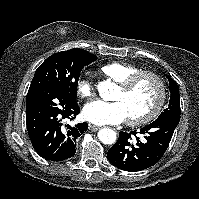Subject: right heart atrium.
<instances>
[{"label": "right heart atrium", "instance_id": "obj_1", "mask_svg": "<svg viewBox=\"0 0 199 199\" xmlns=\"http://www.w3.org/2000/svg\"><path fill=\"white\" fill-rule=\"evenodd\" d=\"M94 84L86 78L80 77L76 82V93L80 98H89L93 95Z\"/></svg>", "mask_w": 199, "mask_h": 199}]
</instances>
